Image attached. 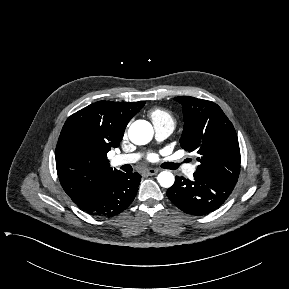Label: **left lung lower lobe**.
<instances>
[{
	"instance_id": "1",
	"label": "left lung lower lobe",
	"mask_w": 289,
	"mask_h": 289,
	"mask_svg": "<svg viewBox=\"0 0 289 289\" xmlns=\"http://www.w3.org/2000/svg\"><path fill=\"white\" fill-rule=\"evenodd\" d=\"M234 187V183L217 176L195 172L193 180L176 177L174 185L167 190V196L185 213L205 215L218 209Z\"/></svg>"
}]
</instances>
